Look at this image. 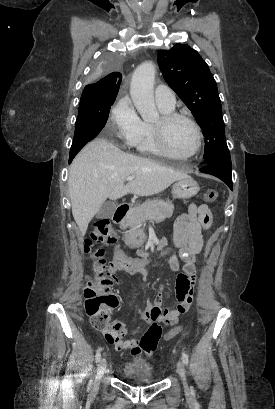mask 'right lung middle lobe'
I'll return each mask as SVG.
<instances>
[{
  "mask_svg": "<svg viewBox=\"0 0 275 409\" xmlns=\"http://www.w3.org/2000/svg\"><path fill=\"white\" fill-rule=\"evenodd\" d=\"M121 64V57H97L91 76L86 79L87 84L95 85L97 79L101 78L102 73H121ZM114 101L115 99L92 100L81 97L74 139L69 154V163L103 129Z\"/></svg>",
  "mask_w": 275,
  "mask_h": 409,
  "instance_id": "1",
  "label": "right lung middle lobe"
}]
</instances>
